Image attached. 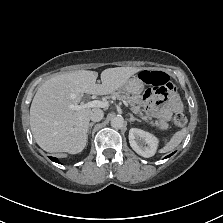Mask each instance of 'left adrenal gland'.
Segmentation results:
<instances>
[{"mask_svg": "<svg viewBox=\"0 0 223 223\" xmlns=\"http://www.w3.org/2000/svg\"><path fill=\"white\" fill-rule=\"evenodd\" d=\"M129 115H130V120H129V121H130V123H131V122H133V121H138V122H141V120H140V119L135 118V117L133 116V114H131V113H130Z\"/></svg>", "mask_w": 223, "mask_h": 223, "instance_id": "obj_1", "label": "left adrenal gland"}]
</instances>
